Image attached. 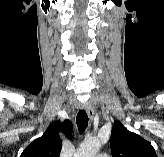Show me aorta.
Returning <instances> with one entry per match:
<instances>
[{
    "label": "aorta",
    "instance_id": "762f6f07",
    "mask_svg": "<svg viewBox=\"0 0 164 157\" xmlns=\"http://www.w3.org/2000/svg\"><path fill=\"white\" fill-rule=\"evenodd\" d=\"M101 145L98 141H87L80 145L75 157H95Z\"/></svg>",
    "mask_w": 164,
    "mask_h": 157
}]
</instances>
